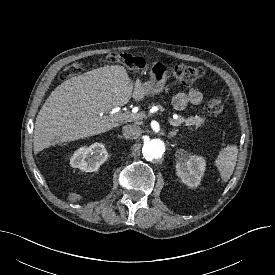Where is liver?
I'll return each mask as SVG.
<instances>
[{
    "label": "liver",
    "instance_id": "liver-1",
    "mask_svg": "<svg viewBox=\"0 0 275 275\" xmlns=\"http://www.w3.org/2000/svg\"><path fill=\"white\" fill-rule=\"evenodd\" d=\"M145 95L141 81L133 84L120 65L100 67L64 81L36 117L34 152L111 130L118 123L105 114L127 104L131 97L142 101Z\"/></svg>",
    "mask_w": 275,
    "mask_h": 275
}]
</instances>
